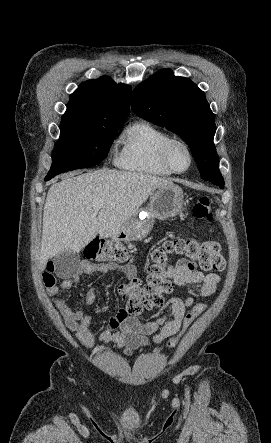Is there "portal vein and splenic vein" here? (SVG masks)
Returning <instances> with one entry per match:
<instances>
[{
	"mask_svg": "<svg viewBox=\"0 0 271 443\" xmlns=\"http://www.w3.org/2000/svg\"><path fill=\"white\" fill-rule=\"evenodd\" d=\"M102 206H103V202H96V204H94L95 212H98V210H100V208H102Z\"/></svg>",
	"mask_w": 271,
	"mask_h": 443,
	"instance_id": "portal-vein-and-splenic-vein-1",
	"label": "portal vein and splenic vein"
}]
</instances>
